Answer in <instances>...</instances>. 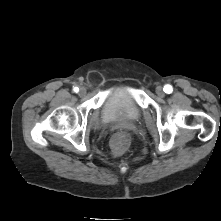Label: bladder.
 I'll list each match as a JSON object with an SVG mask.
<instances>
[{"instance_id": "31cf9c89", "label": "bladder", "mask_w": 221, "mask_h": 221, "mask_svg": "<svg viewBox=\"0 0 221 221\" xmlns=\"http://www.w3.org/2000/svg\"><path fill=\"white\" fill-rule=\"evenodd\" d=\"M141 117V108L136 102L134 94L126 88L113 90L105 98L100 120L102 123L115 121H136Z\"/></svg>"}]
</instances>
